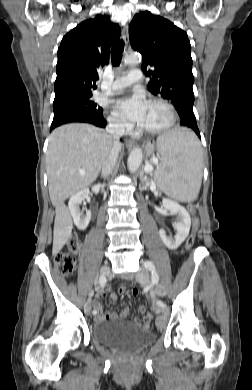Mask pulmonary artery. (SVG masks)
Instances as JSON below:
<instances>
[{
  "instance_id": "1",
  "label": "pulmonary artery",
  "mask_w": 252,
  "mask_h": 390,
  "mask_svg": "<svg viewBox=\"0 0 252 390\" xmlns=\"http://www.w3.org/2000/svg\"><path fill=\"white\" fill-rule=\"evenodd\" d=\"M142 77V72L139 69H132L126 75L119 77L115 80L111 87L113 93L119 92L122 89L139 82Z\"/></svg>"
}]
</instances>
